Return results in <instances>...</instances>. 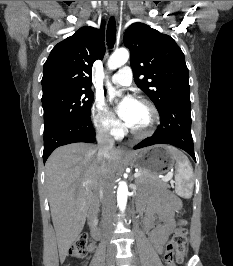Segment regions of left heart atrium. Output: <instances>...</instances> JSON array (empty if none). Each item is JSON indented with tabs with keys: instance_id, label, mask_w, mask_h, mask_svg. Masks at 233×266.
Returning <instances> with one entry per match:
<instances>
[{
	"instance_id": "39dd6f15",
	"label": "left heart atrium",
	"mask_w": 233,
	"mask_h": 266,
	"mask_svg": "<svg viewBox=\"0 0 233 266\" xmlns=\"http://www.w3.org/2000/svg\"><path fill=\"white\" fill-rule=\"evenodd\" d=\"M138 101L131 96L125 97L117 107L120 119L128 127H132L135 121V114Z\"/></svg>"
}]
</instances>
